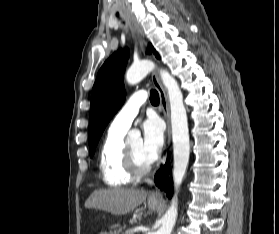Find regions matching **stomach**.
I'll use <instances>...</instances> for the list:
<instances>
[{
	"label": "stomach",
	"mask_w": 279,
	"mask_h": 234,
	"mask_svg": "<svg viewBox=\"0 0 279 234\" xmlns=\"http://www.w3.org/2000/svg\"><path fill=\"white\" fill-rule=\"evenodd\" d=\"M159 206V202H152L148 200V208L152 211L156 210Z\"/></svg>",
	"instance_id": "1"
}]
</instances>
